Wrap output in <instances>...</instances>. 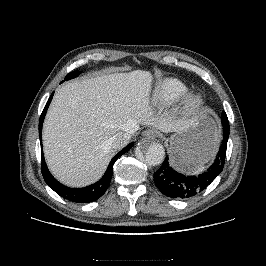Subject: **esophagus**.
<instances>
[{
	"label": "esophagus",
	"mask_w": 266,
	"mask_h": 266,
	"mask_svg": "<svg viewBox=\"0 0 266 266\" xmlns=\"http://www.w3.org/2000/svg\"><path fill=\"white\" fill-rule=\"evenodd\" d=\"M142 135L144 137H147V138H155V137H158L159 136V131L155 130V129H147L145 130Z\"/></svg>",
	"instance_id": "esophagus-1"
}]
</instances>
